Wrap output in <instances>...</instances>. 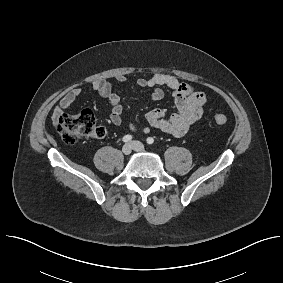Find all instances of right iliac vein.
Segmentation results:
<instances>
[{
    "label": "right iliac vein",
    "mask_w": 283,
    "mask_h": 283,
    "mask_svg": "<svg viewBox=\"0 0 283 283\" xmlns=\"http://www.w3.org/2000/svg\"><path fill=\"white\" fill-rule=\"evenodd\" d=\"M132 146L130 144H125L123 147H122V152L123 154L125 155H129L131 152H132Z\"/></svg>",
    "instance_id": "1"
}]
</instances>
